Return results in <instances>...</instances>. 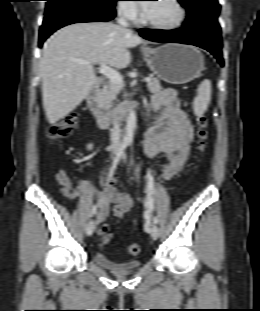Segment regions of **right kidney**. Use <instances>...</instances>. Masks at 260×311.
<instances>
[{
  "mask_svg": "<svg viewBox=\"0 0 260 311\" xmlns=\"http://www.w3.org/2000/svg\"><path fill=\"white\" fill-rule=\"evenodd\" d=\"M91 148H92V145H89V146H88V149H91Z\"/></svg>",
  "mask_w": 260,
  "mask_h": 311,
  "instance_id": "1",
  "label": "right kidney"
}]
</instances>
